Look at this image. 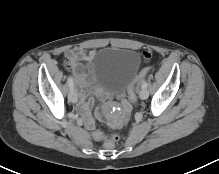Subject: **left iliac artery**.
Returning a JSON list of instances; mask_svg holds the SVG:
<instances>
[{
  "instance_id": "left-iliac-artery-1",
  "label": "left iliac artery",
  "mask_w": 219,
  "mask_h": 174,
  "mask_svg": "<svg viewBox=\"0 0 219 174\" xmlns=\"http://www.w3.org/2000/svg\"><path fill=\"white\" fill-rule=\"evenodd\" d=\"M147 85H148V84H147V81L144 80V81L142 82V84H141V87L144 88V89H146V88H147Z\"/></svg>"
}]
</instances>
